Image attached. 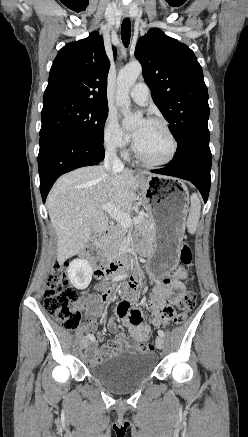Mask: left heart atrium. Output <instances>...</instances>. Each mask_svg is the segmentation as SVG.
I'll return each mask as SVG.
<instances>
[{
    "mask_svg": "<svg viewBox=\"0 0 248 437\" xmlns=\"http://www.w3.org/2000/svg\"><path fill=\"white\" fill-rule=\"evenodd\" d=\"M139 134H140V129H136L135 131H133V133H132L133 139L136 140L138 138Z\"/></svg>",
    "mask_w": 248,
    "mask_h": 437,
    "instance_id": "left-heart-atrium-1",
    "label": "left heart atrium"
}]
</instances>
